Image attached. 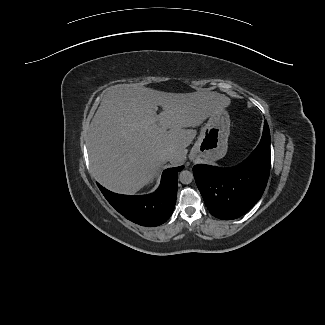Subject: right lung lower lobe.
<instances>
[{
  "label": "right lung lower lobe",
  "mask_w": 325,
  "mask_h": 325,
  "mask_svg": "<svg viewBox=\"0 0 325 325\" xmlns=\"http://www.w3.org/2000/svg\"><path fill=\"white\" fill-rule=\"evenodd\" d=\"M184 166L168 168L162 173L161 184L152 194L129 196L113 193L100 184L108 202L128 220L142 226H158L173 213L177 197V176Z\"/></svg>",
  "instance_id": "98d812e1"
}]
</instances>
